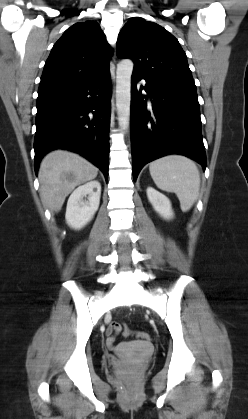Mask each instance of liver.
I'll use <instances>...</instances> for the list:
<instances>
[{"instance_id":"liver-1","label":"liver","mask_w":248,"mask_h":419,"mask_svg":"<svg viewBox=\"0 0 248 419\" xmlns=\"http://www.w3.org/2000/svg\"><path fill=\"white\" fill-rule=\"evenodd\" d=\"M98 174V168L82 156L66 150L48 153L39 168L40 197L50 210L59 212L72 190Z\"/></svg>"}]
</instances>
